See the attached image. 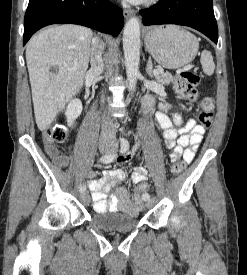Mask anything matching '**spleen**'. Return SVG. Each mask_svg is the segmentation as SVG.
<instances>
[{
  "label": "spleen",
  "mask_w": 247,
  "mask_h": 275,
  "mask_svg": "<svg viewBox=\"0 0 247 275\" xmlns=\"http://www.w3.org/2000/svg\"><path fill=\"white\" fill-rule=\"evenodd\" d=\"M200 61H201V65H202L204 73L207 75L213 74L214 69H215V64L213 61L212 54L208 50H204L201 53Z\"/></svg>",
  "instance_id": "obj_1"
}]
</instances>
